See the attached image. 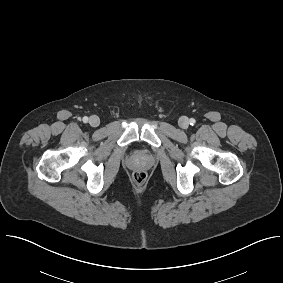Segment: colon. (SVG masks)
Wrapping results in <instances>:
<instances>
[{"label":"colon","instance_id":"obj_1","mask_svg":"<svg viewBox=\"0 0 283 283\" xmlns=\"http://www.w3.org/2000/svg\"><path fill=\"white\" fill-rule=\"evenodd\" d=\"M133 180L137 184H142L146 180V174L143 171H137L133 174Z\"/></svg>","mask_w":283,"mask_h":283}]
</instances>
